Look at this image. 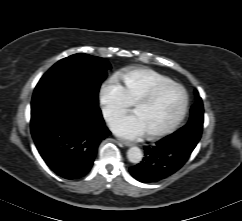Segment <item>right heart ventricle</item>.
Returning <instances> with one entry per match:
<instances>
[{
  "instance_id": "right-heart-ventricle-1",
  "label": "right heart ventricle",
  "mask_w": 242,
  "mask_h": 221,
  "mask_svg": "<svg viewBox=\"0 0 242 221\" xmlns=\"http://www.w3.org/2000/svg\"><path fill=\"white\" fill-rule=\"evenodd\" d=\"M117 79L127 98L133 104L154 86L171 81L167 76L150 68H134L121 72Z\"/></svg>"
}]
</instances>
